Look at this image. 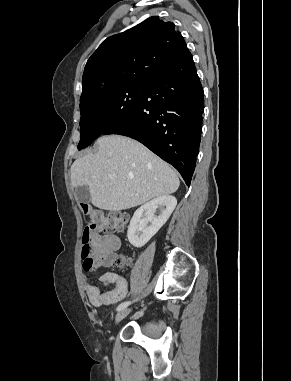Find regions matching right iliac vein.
Wrapping results in <instances>:
<instances>
[{
    "instance_id": "obj_1",
    "label": "right iliac vein",
    "mask_w": 291,
    "mask_h": 381,
    "mask_svg": "<svg viewBox=\"0 0 291 381\" xmlns=\"http://www.w3.org/2000/svg\"><path fill=\"white\" fill-rule=\"evenodd\" d=\"M131 312L130 308H124L120 310L115 317V324H118L121 320H123L129 313Z\"/></svg>"
}]
</instances>
